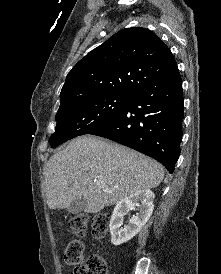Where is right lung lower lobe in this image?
<instances>
[{
  "label": "right lung lower lobe",
  "mask_w": 221,
  "mask_h": 274,
  "mask_svg": "<svg viewBox=\"0 0 221 274\" xmlns=\"http://www.w3.org/2000/svg\"><path fill=\"white\" fill-rule=\"evenodd\" d=\"M183 102L176 65L137 91L108 122L89 134L148 155L173 173L180 154Z\"/></svg>",
  "instance_id": "98d812e1"
}]
</instances>
